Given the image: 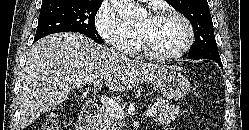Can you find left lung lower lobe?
<instances>
[{"mask_svg":"<svg viewBox=\"0 0 249 130\" xmlns=\"http://www.w3.org/2000/svg\"><path fill=\"white\" fill-rule=\"evenodd\" d=\"M189 59H193V60H198V59H211L213 61H215L216 63H218L222 69H223V65H222V62H221V59L220 58H202V57H188Z\"/></svg>","mask_w":249,"mask_h":130,"instance_id":"obj_1","label":"left lung lower lobe"}]
</instances>
